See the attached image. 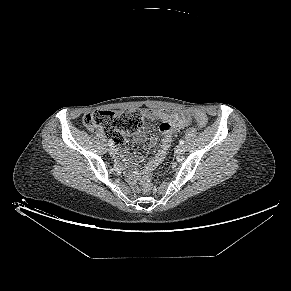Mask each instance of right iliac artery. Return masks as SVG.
Masks as SVG:
<instances>
[{
	"label": "right iliac artery",
	"instance_id": "82829eb1",
	"mask_svg": "<svg viewBox=\"0 0 291 291\" xmlns=\"http://www.w3.org/2000/svg\"><path fill=\"white\" fill-rule=\"evenodd\" d=\"M108 145H109L110 147H112V146H113V142H112V141H108Z\"/></svg>",
	"mask_w": 291,
	"mask_h": 291
}]
</instances>
